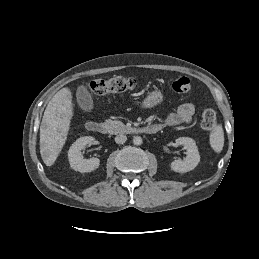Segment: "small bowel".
Masks as SVG:
<instances>
[{"label": "small bowel", "mask_w": 259, "mask_h": 259, "mask_svg": "<svg viewBox=\"0 0 259 259\" xmlns=\"http://www.w3.org/2000/svg\"><path fill=\"white\" fill-rule=\"evenodd\" d=\"M194 113L195 107L192 103H183L175 112L170 113L165 117L163 125L173 127L182 123H189L191 122Z\"/></svg>", "instance_id": "1"}]
</instances>
